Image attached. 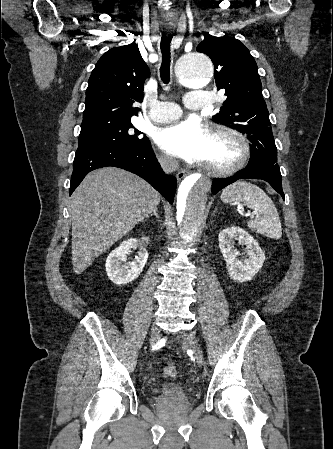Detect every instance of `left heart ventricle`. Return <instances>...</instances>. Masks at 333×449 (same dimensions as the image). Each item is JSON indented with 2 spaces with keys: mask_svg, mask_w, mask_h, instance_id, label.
<instances>
[{
  "mask_svg": "<svg viewBox=\"0 0 333 449\" xmlns=\"http://www.w3.org/2000/svg\"><path fill=\"white\" fill-rule=\"evenodd\" d=\"M236 156L235 146L222 138H214L210 135L208 149L203 160L215 166L226 165L230 163Z\"/></svg>",
  "mask_w": 333,
  "mask_h": 449,
  "instance_id": "b2bd125f",
  "label": "left heart ventricle"
}]
</instances>
